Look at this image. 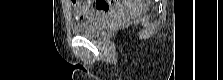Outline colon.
<instances>
[{"mask_svg":"<svg viewBox=\"0 0 223 80\" xmlns=\"http://www.w3.org/2000/svg\"><path fill=\"white\" fill-rule=\"evenodd\" d=\"M73 1H75V0H73ZM75 2H77V3H80V4H83V3H81V2H78V1H75ZM84 15H85V13H83Z\"/></svg>","mask_w":223,"mask_h":80,"instance_id":"1","label":"colon"}]
</instances>
